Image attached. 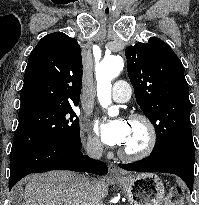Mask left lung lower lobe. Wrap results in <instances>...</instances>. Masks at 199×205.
<instances>
[{"label": "left lung lower lobe", "instance_id": "left-lung-lower-lobe-1", "mask_svg": "<svg viewBox=\"0 0 199 205\" xmlns=\"http://www.w3.org/2000/svg\"><path fill=\"white\" fill-rule=\"evenodd\" d=\"M194 144H177L158 154H152L140 161L130 164H119L129 171L163 172L178 175L193 190L194 181Z\"/></svg>", "mask_w": 199, "mask_h": 205}]
</instances>
